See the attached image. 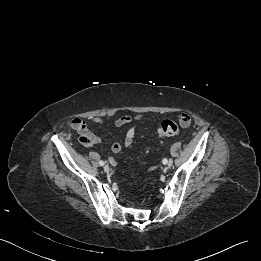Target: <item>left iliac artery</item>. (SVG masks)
I'll list each match as a JSON object with an SVG mask.
<instances>
[{"label":"left iliac artery","mask_w":261,"mask_h":261,"mask_svg":"<svg viewBox=\"0 0 261 261\" xmlns=\"http://www.w3.org/2000/svg\"><path fill=\"white\" fill-rule=\"evenodd\" d=\"M167 161H168V160H167L166 158H164L162 162H163V164H166ZM169 161L173 163V160H172V159H170Z\"/></svg>","instance_id":"left-iliac-artery-1"}]
</instances>
